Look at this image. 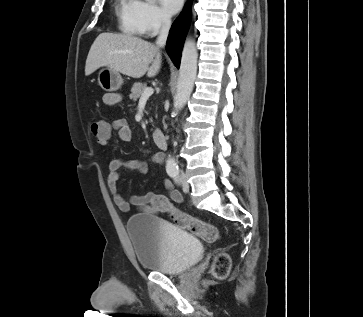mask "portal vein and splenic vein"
I'll use <instances>...</instances> for the list:
<instances>
[{"mask_svg": "<svg viewBox=\"0 0 363 317\" xmlns=\"http://www.w3.org/2000/svg\"><path fill=\"white\" fill-rule=\"evenodd\" d=\"M154 93V89L152 87H147L141 95L140 99H147Z\"/></svg>", "mask_w": 363, "mask_h": 317, "instance_id": "portal-vein-and-splenic-vein-1", "label": "portal vein and splenic vein"}]
</instances>
